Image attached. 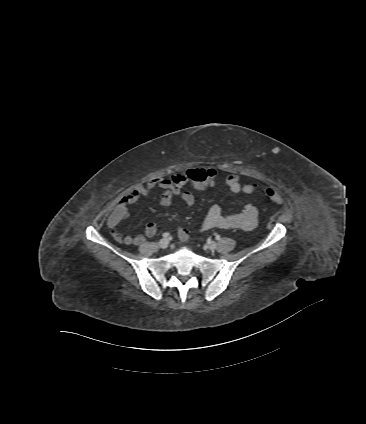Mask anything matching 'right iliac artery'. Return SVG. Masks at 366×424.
I'll return each mask as SVG.
<instances>
[{
    "instance_id": "82829eb1",
    "label": "right iliac artery",
    "mask_w": 366,
    "mask_h": 424,
    "mask_svg": "<svg viewBox=\"0 0 366 424\" xmlns=\"http://www.w3.org/2000/svg\"><path fill=\"white\" fill-rule=\"evenodd\" d=\"M169 236V233H164L163 237L167 238Z\"/></svg>"
}]
</instances>
